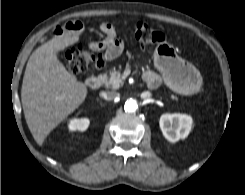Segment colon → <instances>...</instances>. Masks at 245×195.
I'll return each instance as SVG.
<instances>
[{
  "instance_id": "obj_1",
  "label": "colon",
  "mask_w": 245,
  "mask_h": 195,
  "mask_svg": "<svg viewBox=\"0 0 245 195\" xmlns=\"http://www.w3.org/2000/svg\"><path fill=\"white\" fill-rule=\"evenodd\" d=\"M135 38L141 46H154L162 42L163 34L145 23H138ZM67 69L73 74L86 73L92 64L103 65L105 61L104 50H87L83 47L69 50L64 55Z\"/></svg>"
}]
</instances>
